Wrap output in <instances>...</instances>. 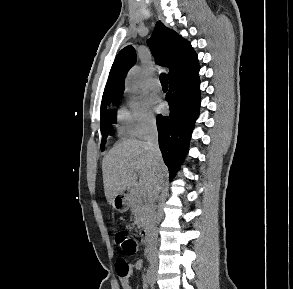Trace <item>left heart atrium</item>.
<instances>
[{
	"instance_id": "obj_1",
	"label": "left heart atrium",
	"mask_w": 293,
	"mask_h": 289,
	"mask_svg": "<svg viewBox=\"0 0 293 289\" xmlns=\"http://www.w3.org/2000/svg\"><path fill=\"white\" fill-rule=\"evenodd\" d=\"M155 110L161 112L163 110V104L160 101L154 103Z\"/></svg>"
}]
</instances>
